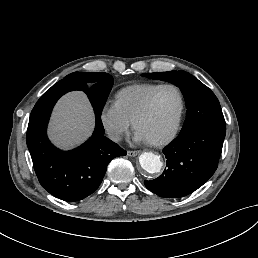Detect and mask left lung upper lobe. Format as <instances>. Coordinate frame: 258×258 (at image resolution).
Returning a JSON list of instances; mask_svg holds the SVG:
<instances>
[{"label": "left lung upper lobe", "mask_w": 258, "mask_h": 258, "mask_svg": "<svg viewBox=\"0 0 258 258\" xmlns=\"http://www.w3.org/2000/svg\"><path fill=\"white\" fill-rule=\"evenodd\" d=\"M142 76L168 81L178 86L184 95L187 115L178 137L203 127L226 129L220 103L214 93L197 78L185 71L144 73Z\"/></svg>", "instance_id": "1"}]
</instances>
